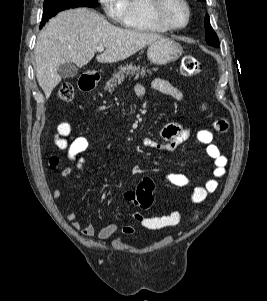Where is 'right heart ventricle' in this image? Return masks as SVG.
I'll list each match as a JSON object with an SVG mask.
<instances>
[{"label": "right heart ventricle", "instance_id": "obj_1", "mask_svg": "<svg viewBox=\"0 0 267 301\" xmlns=\"http://www.w3.org/2000/svg\"><path fill=\"white\" fill-rule=\"evenodd\" d=\"M123 26L138 32L164 33L168 31L154 18L152 14V0H125Z\"/></svg>", "mask_w": 267, "mask_h": 301}]
</instances>
